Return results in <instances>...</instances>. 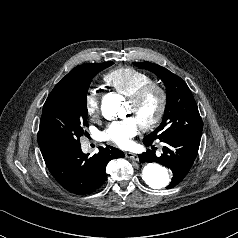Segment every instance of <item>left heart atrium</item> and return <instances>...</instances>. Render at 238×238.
<instances>
[{
	"label": "left heart atrium",
	"mask_w": 238,
	"mask_h": 238,
	"mask_svg": "<svg viewBox=\"0 0 238 238\" xmlns=\"http://www.w3.org/2000/svg\"><path fill=\"white\" fill-rule=\"evenodd\" d=\"M139 123L133 117L111 123L104 131V137L122 148H128L139 131Z\"/></svg>",
	"instance_id": "1"
}]
</instances>
